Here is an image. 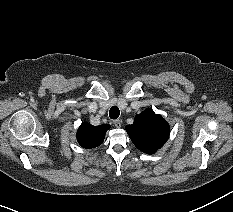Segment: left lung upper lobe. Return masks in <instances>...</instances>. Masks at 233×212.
I'll return each mask as SVG.
<instances>
[{
    "label": "left lung upper lobe",
    "mask_w": 233,
    "mask_h": 212,
    "mask_svg": "<svg viewBox=\"0 0 233 212\" xmlns=\"http://www.w3.org/2000/svg\"><path fill=\"white\" fill-rule=\"evenodd\" d=\"M126 131L139 150L153 154L168 140L170 127L161 115L146 109L126 126Z\"/></svg>",
    "instance_id": "1"
}]
</instances>
